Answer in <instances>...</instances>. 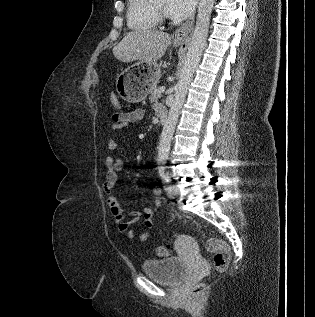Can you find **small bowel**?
Returning a JSON list of instances; mask_svg holds the SVG:
<instances>
[{
  "mask_svg": "<svg viewBox=\"0 0 315 317\" xmlns=\"http://www.w3.org/2000/svg\"><path fill=\"white\" fill-rule=\"evenodd\" d=\"M159 108L161 107H157V110ZM144 114V110L142 109L115 113L112 116L113 123L111 128L114 132H118L129 124L142 121ZM116 147V139L113 137L109 138L107 141V148L109 150H115ZM122 168L123 160L121 158L108 156L105 159V180L103 183V189L107 195V203L113 215L114 222L117 225L118 231L121 234L126 235L129 239H133L135 237V230L132 226L137 223L141 217L144 218V230L141 232L139 239L142 243H145L154 226L152 218L162 206V200L160 198L161 189L157 186L152 189V206L144 207L141 212H132L127 215L121 202L112 194L118 178L117 173Z\"/></svg>",
  "mask_w": 315,
  "mask_h": 317,
  "instance_id": "1",
  "label": "small bowel"
}]
</instances>
